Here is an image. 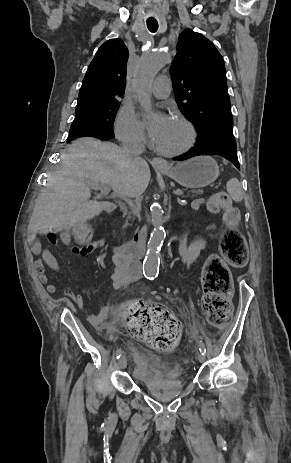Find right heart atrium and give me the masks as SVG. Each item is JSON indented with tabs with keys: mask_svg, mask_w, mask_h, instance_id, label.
Instances as JSON below:
<instances>
[{
	"mask_svg": "<svg viewBox=\"0 0 291 463\" xmlns=\"http://www.w3.org/2000/svg\"><path fill=\"white\" fill-rule=\"evenodd\" d=\"M115 133L126 144L142 145L146 142L144 127L131 109L123 107L117 116Z\"/></svg>",
	"mask_w": 291,
	"mask_h": 463,
	"instance_id": "1",
	"label": "right heart atrium"
}]
</instances>
